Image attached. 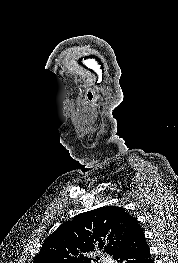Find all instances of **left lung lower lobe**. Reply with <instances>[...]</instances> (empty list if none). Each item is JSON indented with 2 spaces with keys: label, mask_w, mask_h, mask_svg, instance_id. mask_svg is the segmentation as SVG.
Returning <instances> with one entry per match:
<instances>
[{
  "label": "left lung lower lobe",
  "mask_w": 178,
  "mask_h": 263,
  "mask_svg": "<svg viewBox=\"0 0 178 263\" xmlns=\"http://www.w3.org/2000/svg\"><path fill=\"white\" fill-rule=\"evenodd\" d=\"M113 258L120 263H154L144 232L133 217Z\"/></svg>",
  "instance_id": "0a47b994"
}]
</instances>
